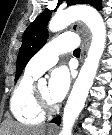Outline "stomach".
Listing matches in <instances>:
<instances>
[{
  "label": "stomach",
  "instance_id": "stomach-1",
  "mask_svg": "<svg viewBox=\"0 0 112 135\" xmlns=\"http://www.w3.org/2000/svg\"><path fill=\"white\" fill-rule=\"evenodd\" d=\"M48 135H52V133L51 132H48Z\"/></svg>",
  "mask_w": 112,
  "mask_h": 135
}]
</instances>
